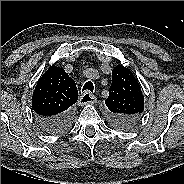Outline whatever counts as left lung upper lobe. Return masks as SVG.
Instances as JSON below:
<instances>
[{
  "instance_id": "left-lung-upper-lobe-1",
  "label": "left lung upper lobe",
  "mask_w": 184,
  "mask_h": 184,
  "mask_svg": "<svg viewBox=\"0 0 184 184\" xmlns=\"http://www.w3.org/2000/svg\"><path fill=\"white\" fill-rule=\"evenodd\" d=\"M105 103L110 121L117 128L128 129L141 118L144 97L139 82L128 68L118 65L112 70V84Z\"/></svg>"
}]
</instances>
